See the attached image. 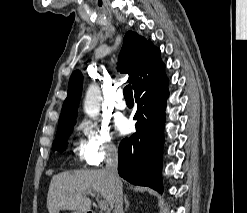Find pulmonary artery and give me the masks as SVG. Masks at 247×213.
Segmentation results:
<instances>
[{
    "label": "pulmonary artery",
    "instance_id": "e3ab8cb5",
    "mask_svg": "<svg viewBox=\"0 0 247 213\" xmlns=\"http://www.w3.org/2000/svg\"><path fill=\"white\" fill-rule=\"evenodd\" d=\"M115 108L118 110H125L127 107V104L125 100L123 99V92L118 91L116 94V101H115Z\"/></svg>",
    "mask_w": 247,
    "mask_h": 213
}]
</instances>
